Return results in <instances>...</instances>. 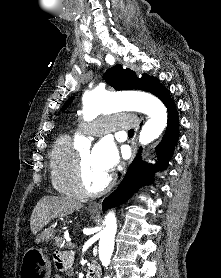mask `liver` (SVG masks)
<instances>
[{
  "mask_svg": "<svg viewBox=\"0 0 221 278\" xmlns=\"http://www.w3.org/2000/svg\"><path fill=\"white\" fill-rule=\"evenodd\" d=\"M82 207V203L69 197L44 196L38 201L31 214V231L35 235L51 220L66 217Z\"/></svg>",
  "mask_w": 221,
  "mask_h": 278,
  "instance_id": "liver-1",
  "label": "liver"
}]
</instances>
